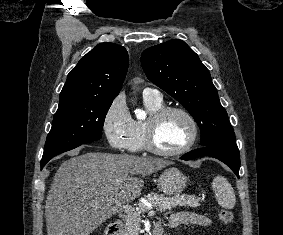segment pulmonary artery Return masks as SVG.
I'll return each instance as SVG.
<instances>
[{
	"label": "pulmonary artery",
	"instance_id": "1",
	"mask_svg": "<svg viewBox=\"0 0 283 235\" xmlns=\"http://www.w3.org/2000/svg\"><path fill=\"white\" fill-rule=\"evenodd\" d=\"M143 96L161 98L160 92L157 89H154V88H145L143 90Z\"/></svg>",
	"mask_w": 283,
	"mask_h": 235
}]
</instances>
